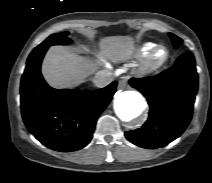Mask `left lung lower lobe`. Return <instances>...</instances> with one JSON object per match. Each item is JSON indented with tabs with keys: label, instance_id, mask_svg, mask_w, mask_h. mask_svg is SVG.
<instances>
[{
	"label": "left lung lower lobe",
	"instance_id": "1",
	"mask_svg": "<svg viewBox=\"0 0 212 183\" xmlns=\"http://www.w3.org/2000/svg\"><path fill=\"white\" fill-rule=\"evenodd\" d=\"M150 105L148 120L125 133L133 144L156 149L178 138L188 126L198 89V74L191 52L181 55L175 65L157 76L131 79Z\"/></svg>",
	"mask_w": 212,
	"mask_h": 183
}]
</instances>
